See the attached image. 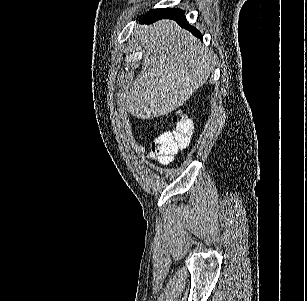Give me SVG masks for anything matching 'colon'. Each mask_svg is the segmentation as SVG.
Here are the masks:
<instances>
[{"label":"colon","instance_id":"1","mask_svg":"<svg viewBox=\"0 0 307 301\" xmlns=\"http://www.w3.org/2000/svg\"><path fill=\"white\" fill-rule=\"evenodd\" d=\"M173 120L174 130L159 134L151 141L152 151L164 162L171 161L179 150L188 145L193 132V123L187 116L176 113Z\"/></svg>","mask_w":307,"mask_h":301}]
</instances>
